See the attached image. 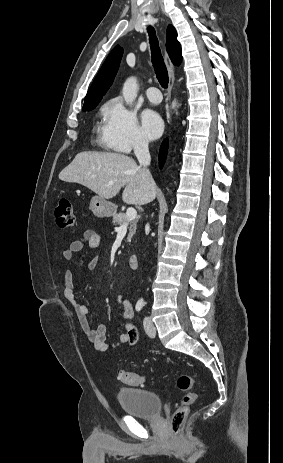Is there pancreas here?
Wrapping results in <instances>:
<instances>
[{
	"label": "pancreas",
	"instance_id": "obj_1",
	"mask_svg": "<svg viewBox=\"0 0 283 463\" xmlns=\"http://www.w3.org/2000/svg\"><path fill=\"white\" fill-rule=\"evenodd\" d=\"M112 223L115 224V225L130 224L129 234H128V237H127L128 242H130L131 238L133 237V235L136 232L137 220H135V219L134 220H127L126 214L120 212V213L113 214Z\"/></svg>",
	"mask_w": 283,
	"mask_h": 463
}]
</instances>
